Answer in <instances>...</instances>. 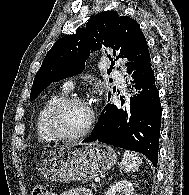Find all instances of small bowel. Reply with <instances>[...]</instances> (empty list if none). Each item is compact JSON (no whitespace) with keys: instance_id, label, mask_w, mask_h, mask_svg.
I'll use <instances>...</instances> for the list:
<instances>
[{"instance_id":"c3829d8e","label":"small bowel","mask_w":189,"mask_h":195,"mask_svg":"<svg viewBox=\"0 0 189 195\" xmlns=\"http://www.w3.org/2000/svg\"><path fill=\"white\" fill-rule=\"evenodd\" d=\"M61 195H92V192L86 188H72L61 193Z\"/></svg>"}]
</instances>
